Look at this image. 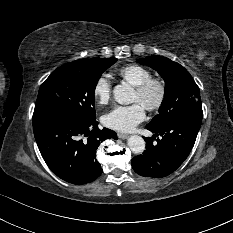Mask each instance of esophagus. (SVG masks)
Wrapping results in <instances>:
<instances>
[{
	"mask_svg": "<svg viewBox=\"0 0 233 233\" xmlns=\"http://www.w3.org/2000/svg\"><path fill=\"white\" fill-rule=\"evenodd\" d=\"M117 135L120 139H123V140L129 137L127 134H123V133H118Z\"/></svg>",
	"mask_w": 233,
	"mask_h": 233,
	"instance_id": "34e87169",
	"label": "esophagus"
}]
</instances>
